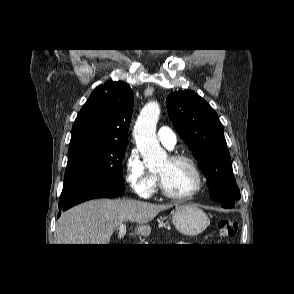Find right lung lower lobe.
I'll return each mask as SVG.
<instances>
[{"mask_svg":"<svg viewBox=\"0 0 294 294\" xmlns=\"http://www.w3.org/2000/svg\"><path fill=\"white\" fill-rule=\"evenodd\" d=\"M125 191L122 185L112 184H86L74 189L62 192L59 199V209L61 212L84 201L95 198H113L121 195Z\"/></svg>","mask_w":294,"mask_h":294,"instance_id":"98d812e1","label":"right lung lower lobe"}]
</instances>
